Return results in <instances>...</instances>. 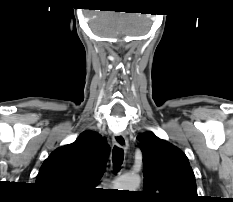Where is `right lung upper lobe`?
I'll return each mask as SVG.
<instances>
[{"instance_id": "obj_1", "label": "right lung upper lobe", "mask_w": 233, "mask_h": 202, "mask_svg": "<svg viewBox=\"0 0 233 202\" xmlns=\"http://www.w3.org/2000/svg\"><path fill=\"white\" fill-rule=\"evenodd\" d=\"M109 146L101 135L83 132L72 144L55 150L42 164L36 183L59 196H80L102 177Z\"/></svg>"}]
</instances>
